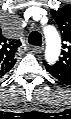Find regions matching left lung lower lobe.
<instances>
[{
    "mask_svg": "<svg viewBox=\"0 0 71 119\" xmlns=\"http://www.w3.org/2000/svg\"><path fill=\"white\" fill-rule=\"evenodd\" d=\"M45 67L47 71L59 81L65 84H71V72L70 71L60 70V69H57L49 65H45Z\"/></svg>",
    "mask_w": 71,
    "mask_h": 119,
    "instance_id": "0a47b994",
    "label": "left lung lower lobe"
}]
</instances>
